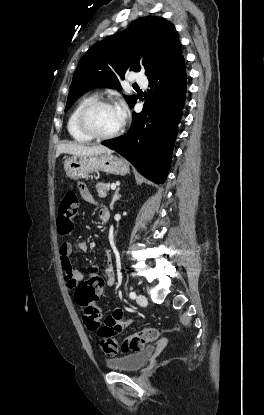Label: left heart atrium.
I'll use <instances>...</instances> for the list:
<instances>
[{
	"instance_id": "1",
	"label": "left heart atrium",
	"mask_w": 264,
	"mask_h": 415,
	"mask_svg": "<svg viewBox=\"0 0 264 415\" xmlns=\"http://www.w3.org/2000/svg\"><path fill=\"white\" fill-rule=\"evenodd\" d=\"M116 108L119 111L122 119H124L125 116H126V112H127L125 104L124 103H120L119 105H117Z\"/></svg>"
}]
</instances>
